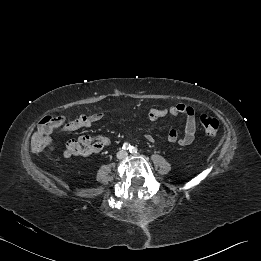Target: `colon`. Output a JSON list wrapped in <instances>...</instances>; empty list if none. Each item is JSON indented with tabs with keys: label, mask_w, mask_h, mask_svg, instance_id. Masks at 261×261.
Masks as SVG:
<instances>
[{
	"label": "colon",
	"mask_w": 261,
	"mask_h": 261,
	"mask_svg": "<svg viewBox=\"0 0 261 261\" xmlns=\"http://www.w3.org/2000/svg\"><path fill=\"white\" fill-rule=\"evenodd\" d=\"M200 124L207 135L214 136L218 132L219 122L209 114H201L199 117ZM62 122L59 115H49L44 117L38 124L32 138L31 148L34 152L40 153L50 143L52 132L56 126Z\"/></svg>",
	"instance_id": "5ec220e1"
}]
</instances>
